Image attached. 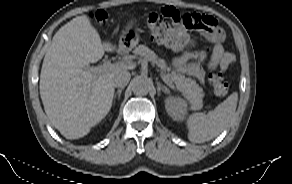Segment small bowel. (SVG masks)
Masks as SVG:
<instances>
[{"instance_id":"small-bowel-1","label":"small bowel","mask_w":292,"mask_h":184,"mask_svg":"<svg viewBox=\"0 0 292 184\" xmlns=\"http://www.w3.org/2000/svg\"><path fill=\"white\" fill-rule=\"evenodd\" d=\"M209 20V25L198 28L197 30L213 44V50L210 59L206 62V55L203 51L184 52L176 56L173 60L174 69L187 76L195 77L198 81L204 82L206 68L213 71L220 68L222 72L226 71L235 61V56L231 52L225 51L223 42L225 34L218 25L216 19L205 15ZM194 59L195 61H191Z\"/></svg>"}]
</instances>
